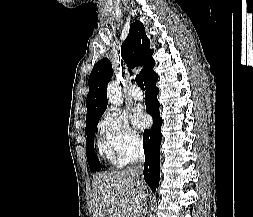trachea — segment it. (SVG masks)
I'll return each mask as SVG.
<instances>
[{
	"mask_svg": "<svg viewBox=\"0 0 253 217\" xmlns=\"http://www.w3.org/2000/svg\"><path fill=\"white\" fill-rule=\"evenodd\" d=\"M135 80H136L137 85H138L142 90H144L145 88H144V84H143L142 78H141L139 75H137Z\"/></svg>",
	"mask_w": 253,
	"mask_h": 217,
	"instance_id": "obj_1",
	"label": "trachea"
}]
</instances>
